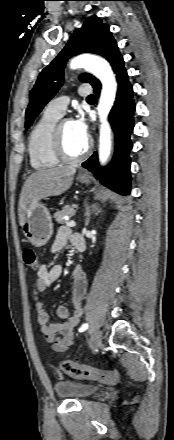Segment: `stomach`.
I'll return each instance as SVG.
<instances>
[{
    "mask_svg": "<svg viewBox=\"0 0 174 440\" xmlns=\"http://www.w3.org/2000/svg\"><path fill=\"white\" fill-rule=\"evenodd\" d=\"M78 181L89 184V176H78ZM27 240L35 247L45 245L53 233V223L51 215L42 203H37L31 214L26 215V220L22 226Z\"/></svg>",
    "mask_w": 174,
    "mask_h": 440,
    "instance_id": "0dacf381",
    "label": "stomach"
}]
</instances>
